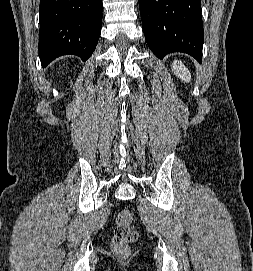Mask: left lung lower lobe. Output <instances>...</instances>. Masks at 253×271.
Instances as JSON below:
<instances>
[{
    "mask_svg": "<svg viewBox=\"0 0 253 271\" xmlns=\"http://www.w3.org/2000/svg\"><path fill=\"white\" fill-rule=\"evenodd\" d=\"M138 1L147 44L157 57L184 52L202 62L200 0Z\"/></svg>",
    "mask_w": 253,
    "mask_h": 271,
    "instance_id": "0a47b994",
    "label": "left lung lower lobe"
}]
</instances>
